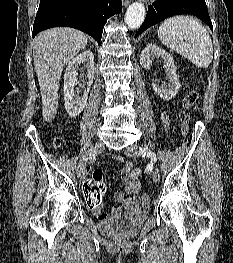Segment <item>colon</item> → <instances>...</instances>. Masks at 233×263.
I'll use <instances>...</instances> for the list:
<instances>
[{
    "mask_svg": "<svg viewBox=\"0 0 233 263\" xmlns=\"http://www.w3.org/2000/svg\"><path fill=\"white\" fill-rule=\"evenodd\" d=\"M199 97V90H191L183 99L182 110L180 112V121H181V131L184 136L188 133V123H189V114L188 111L195 105ZM62 140L60 137L54 139V145L60 146ZM105 176V171L103 169H93L91 178H84V194H85V208H96L99 205L105 191L106 186L103 180ZM140 203L143 207H147L150 203L149 197L143 195L140 198Z\"/></svg>",
    "mask_w": 233,
    "mask_h": 263,
    "instance_id": "obj_1",
    "label": "colon"
}]
</instances>
